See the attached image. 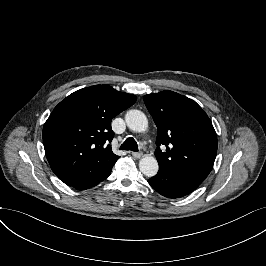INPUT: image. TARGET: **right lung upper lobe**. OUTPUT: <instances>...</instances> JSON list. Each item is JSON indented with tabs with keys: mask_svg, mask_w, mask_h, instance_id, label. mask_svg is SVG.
I'll list each match as a JSON object with an SVG mask.
<instances>
[{
	"mask_svg": "<svg viewBox=\"0 0 266 266\" xmlns=\"http://www.w3.org/2000/svg\"><path fill=\"white\" fill-rule=\"evenodd\" d=\"M136 102V96L108 85L78 90L52 111L43 127V144L56 176L76 186L112 169L119 158L107 145L111 120Z\"/></svg>",
	"mask_w": 266,
	"mask_h": 266,
	"instance_id": "1",
	"label": "right lung upper lobe"
}]
</instances>
